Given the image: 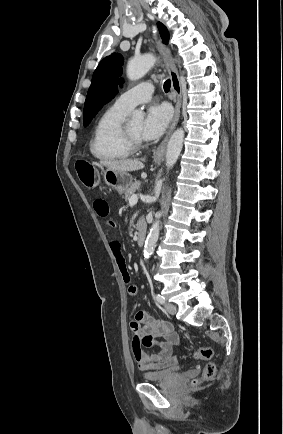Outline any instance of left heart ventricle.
<instances>
[{
  "mask_svg": "<svg viewBox=\"0 0 283 434\" xmlns=\"http://www.w3.org/2000/svg\"><path fill=\"white\" fill-rule=\"evenodd\" d=\"M142 124L143 123L141 120L133 121L128 124V128L133 135L137 137H141L140 133H141Z\"/></svg>",
  "mask_w": 283,
  "mask_h": 434,
  "instance_id": "obj_1",
  "label": "left heart ventricle"
}]
</instances>
